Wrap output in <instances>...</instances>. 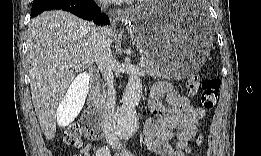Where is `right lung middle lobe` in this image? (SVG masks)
<instances>
[{
  "label": "right lung middle lobe",
  "mask_w": 261,
  "mask_h": 156,
  "mask_svg": "<svg viewBox=\"0 0 261 156\" xmlns=\"http://www.w3.org/2000/svg\"><path fill=\"white\" fill-rule=\"evenodd\" d=\"M45 1H48V0H34V1H33V4H34V3H39V2H45Z\"/></svg>",
  "instance_id": "obj_1"
}]
</instances>
